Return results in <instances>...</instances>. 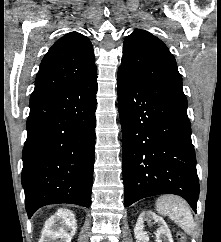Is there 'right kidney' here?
<instances>
[{"label":"right kidney","instance_id":"obj_1","mask_svg":"<svg viewBox=\"0 0 221 242\" xmlns=\"http://www.w3.org/2000/svg\"><path fill=\"white\" fill-rule=\"evenodd\" d=\"M77 223L71 210L60 209L44 225L45 242H71L75 235Z\"/></svg>","mask_w":221,"mask_h":242}]
</instances>
